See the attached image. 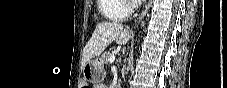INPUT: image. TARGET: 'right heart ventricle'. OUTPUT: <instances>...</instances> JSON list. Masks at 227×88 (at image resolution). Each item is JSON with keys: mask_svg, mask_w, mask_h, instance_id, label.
I'll use <instances>...</instances> for the list:
<instances>
[{"mask_svg": "<svg viewBox=\"0 0 227 88\" xmlns=\"http://www.w3.org/2000/svg\"><path fill=\"white\" fill-rule=\"evenodd\" d=\"M98 9L101 15L112 21L123 19L128 11L125 8L126 0H97Z\"/></svg>", "mask_w": 227, "mask_h": 88, "instance_id": "1", "label": "right heart ventricle"}]
</instances>
